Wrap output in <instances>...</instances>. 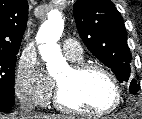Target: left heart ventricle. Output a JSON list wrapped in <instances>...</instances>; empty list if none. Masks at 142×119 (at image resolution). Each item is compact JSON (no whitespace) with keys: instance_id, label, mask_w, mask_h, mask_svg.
I'll use <instances>...</instances> for the list:
<instances>
[{"instance_id":"left-heart-ventricle-1","label":"left heart ventricle","mask_w":142,"mask_h":119,"mask_svg":"<svg viewBox=\"0 0 142 119\" xmlns=\"http://www.w3.org/2000/svg\"><path fill=\"white\" fill-rule=\"evenodd\" d=\"M62 87L64 100L84 111L99 112L108 108L114 99L110 80L99 71L75 76L70 67L56 76Z\"/></svg>"}]
</instances>
